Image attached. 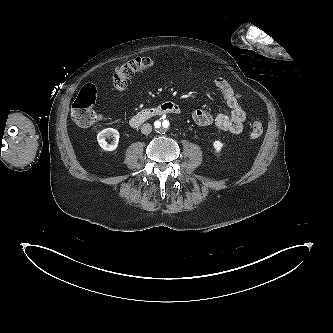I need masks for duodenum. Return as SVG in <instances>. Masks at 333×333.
Wrapping results in <instances>:
<instances>
[{
	"instance_id": "410a0bca",
	"label": "duodenum",
	"mask_w": 333,
	"mask_h": 333,
	"mask_svg": "<svg viewBox=\"0 0 333 333\" xmlns=\"http://www.w3.org/2000/svg\"><path fill=\"white\" fill-rule=\"evenodd\" d=\"M179 113H180V107L177 103L165 102L158 106L147 108L136 113L131 117L130 125L133 128H137L151 118L167 114H179Z\"/></svg>"
}]
</instances>
